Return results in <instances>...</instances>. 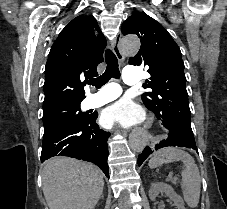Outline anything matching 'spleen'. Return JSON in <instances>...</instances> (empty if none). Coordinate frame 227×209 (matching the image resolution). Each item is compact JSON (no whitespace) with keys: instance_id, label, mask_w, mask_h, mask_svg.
I'll use <instances>...</instances> for the list:
<instances>
[{"instance_id":"obj_1","label":"spleen","mask_w":227,"mask_h":209,"mask_svg":"<svg viewBox=\"0 0 227 209\" xmlns=\"http://www.w3.org/2000/svg\"><path fill=\"white\" fill-rule=\"evenodd\" d=\"M174 161H182L183 171H181L183 197L190 209H196L201 191V177L197 165L191 155L186 151H181L177 147H164L160 151L153 153L150 161V169L162 167L165 163H174Z\"/></svg>"}]
</instances>
